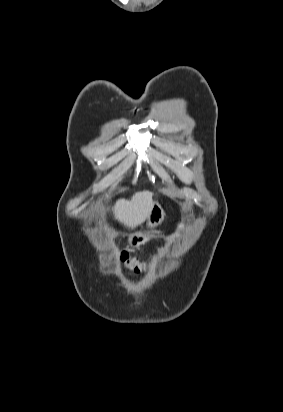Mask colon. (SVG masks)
Listing matches in <instances>:
<instances>
[{
	"label": "colon",
	"mask_w": 283,
	"mask_h": 412,
	"mask_svg": "<svg viewBox=\"0 0 283 412\" xmlns=\"http://www.w3.org/2000/svg\"><path fill=\"white\" fill-rule=\"evenodd\" d=\"M119 261L126 270L132 274H140L146 269V263L141 262L134 258H129V256L125 252H121L119 254Z\"/></svg>",
	"instance_id": "5ec220e1"
}]
</instances>
